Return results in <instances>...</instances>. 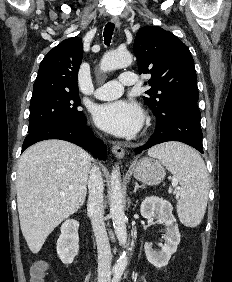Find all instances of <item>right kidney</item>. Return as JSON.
Segmentation results:
<instances>
[{
    "instance_id": "ca27d5eb",
    "label": "right kidney",
    "mask_w": 232,
    "mask_h": 282,
    "mask_svg": "<svg viewBox=\"0 0 232 282\" xmlns=\"http://www.w3.org/2000/svg\"><path fill=\"white\" fill-rule=\"evenodd\" d=\"M79 222L66 220L61 226V234L57 241V254L64 264H71L79 251Z\"/></svg>"
}]
</instances>
